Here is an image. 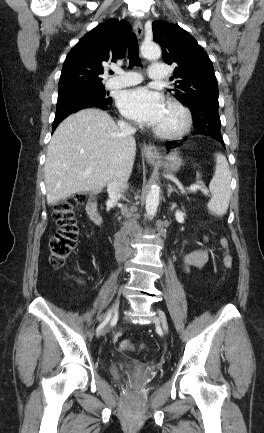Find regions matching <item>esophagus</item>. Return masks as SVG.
<instances>
[{
    "label": "esophagus",
    "instance_id": "1",
    "mask_svg": "<svg viewBox=\"0 0 264 433\" xmlns=\"http://www.w3.org/2000/svg\"><path fill=\"white\" fill-rule=\"evenodd\" d=\"M134 31L138 38H142L143 36V26L139 19L135 20L134 23ZM143 153L148 160H155L159 157V152L155 145L148 144L144 145Z\"/></svg>",
    "mask_w": 264,
    "mask_h": 433
}]
</instances>
